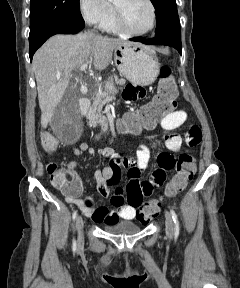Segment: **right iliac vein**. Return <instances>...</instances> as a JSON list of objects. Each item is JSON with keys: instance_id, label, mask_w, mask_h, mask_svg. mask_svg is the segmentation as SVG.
Returning a JSON list of instances; mask_svg holds the SVG:
<instances>
[{"instance_id": "obj_1", "label": "right iliac vein", "mask_w": 240, "mask_h": 288, "mask_svg": "<svg viewBox=\"0 0 240 288\" xmlns=\"http://www.w3.org/2000/svg\"><path fill=\"white\" fill-rule=\"evenodd\" d=\"M76 229L78 231V247L83 244V219L81 216L76 218Z\"/></svg>"}]
</instances>
